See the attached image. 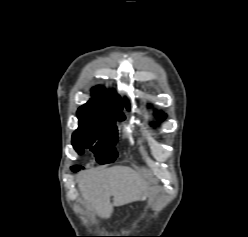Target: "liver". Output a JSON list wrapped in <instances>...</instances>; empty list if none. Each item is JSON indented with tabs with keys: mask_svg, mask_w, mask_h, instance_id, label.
<instances>
[{
	"mask_svg": "<svg viewBox=\"0 0 248 237\" xmlns=\"http://www.w3.org/2000/svg\"><path fill=\"white\" fill-rule=\"evenodd\" d=\"M78 187L88 206L98 216L109 218L113 206L142 199L147 194L149 182L128 166H113L88 172L78 180Z\"/></svg>",
	"mask_w": 248,
	"mask_h": 237,
	"instance_id": "obj_1",
	"label": "liver"
}]
</instances>
